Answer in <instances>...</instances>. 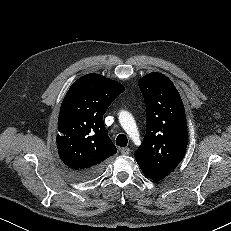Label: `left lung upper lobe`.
Segmentation results:
<instances>
[{"mask_svg": "<svg viewBox=\"0 0 231 231\" xmlns=\"http://www.w3.org/2000/svg\"><path fill=\"white\" fill-rule=\"evenodd\" d=\"M146 105V135L135 151L137 163L168 176L183 159L188 133L184 105L174 84L153 72L139 80Z\"/></svg>", "mask_w": 231, "mask_h": 231, "instance_id": "left-lung-upper-lobe-1", "label": "left lung upper lobe"}]
</instances>
